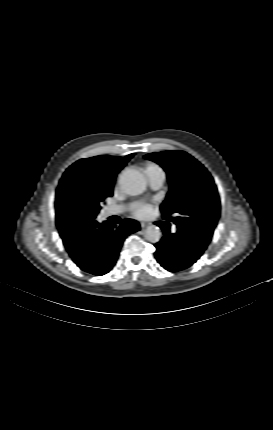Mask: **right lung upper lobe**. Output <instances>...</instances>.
<instances>
[{
    "mask_svg": "<svg viewBox=\"0 0 273 430\" xmlns=\"http://www.w3.org/2000/svg\"><path fill=\"white\" fill-rule=\"evenodd\" d=\"M132 156L133 154L126 157L101 155L80 159L66 170L63 177H77L85 185L91 187L113 188L117 173L126 165ZM60 235L66 249L76 246L81 240V233H60Z\"/></svg>",
    "mask_w": 273,
    "mask_h": 430,
    "instance_id": "cb5924a9",
    "label": "right lung upper lobe"
}]
</instances>
